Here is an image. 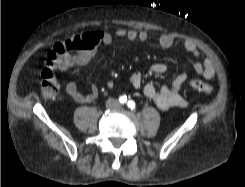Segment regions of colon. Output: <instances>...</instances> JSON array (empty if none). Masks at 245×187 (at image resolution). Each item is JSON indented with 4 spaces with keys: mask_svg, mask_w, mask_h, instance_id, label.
Wrapping results in <instances>:
<instances>
[{
    "mask_svg": "<svg viewBox=\"0 0 245 187\" xmlns=\"http://www.w3.org/2000/svg\"><path fill=\"white\" fill-rule=\"evenodd\" d=\"M87 48L86 35L82 34L68 37L53 46L51 58H47L41 71V90L46 99H55L59 93V83L56 77L58 61L74 51H83ZM188 84L190 88L204 94H212L214 92L213 85L198 79H192Z\"/></svg>",
    "mask_w": 245,
    "mask_h": 187,
    "instance_id": "colon-1",
    "label": "colon"
}]
</instances>
